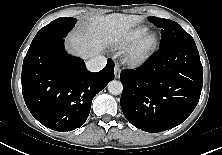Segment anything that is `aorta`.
Segmentation results:
<instances>
[{
    "label": "aorta",
    "instance_id": "1",
    "mask_svg": "<svg viewBox=\"0 0 222 155\" xmlns=\"http://www.w3.org/2000/svg\"><path fill=\"white\" fill-rule=\"evenodd\" d=\"M108 91L113 95H119L123 91V85L120 81L112 80L108 84Z\"/></svg>",
    "mask_w": 222,
    "mask_h": 155
}]
</instances>
